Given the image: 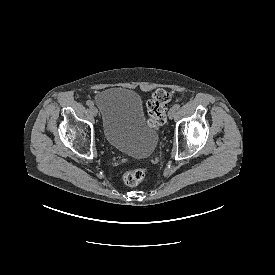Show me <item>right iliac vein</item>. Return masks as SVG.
Returning <instances> with one entry per match:
<instances>
[{
	"instance_id": "obj_1",
	"label": "right iliac vein",
	"mask_w": 275,
	"mask_h": 275,
	"mask_svg": "<svg viewBox=\"0 0 275 275\" xmlns=\"http://www.w3.org/2000/svg\"><path fill=\"white\" fill-rule=\"evenodd\" d=\"M91 113H92L93 116H97L98 110H97V108L95 106L91 107Z\"/></svg>"
}]
</instances>
